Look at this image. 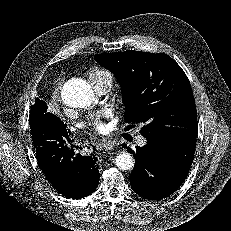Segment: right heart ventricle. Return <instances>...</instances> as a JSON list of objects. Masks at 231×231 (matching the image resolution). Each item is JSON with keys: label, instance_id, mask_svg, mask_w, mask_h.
<instances>
[{"label": "right heart ventricle", "instance_id": "e07e8e85", "mask_svg": "<svg viewBox=\"0 0 231 231\" xmlns=\"http://www.w3.org/2000/svg\"><path fill=\"white\" fill-rule=\"evenodd\" d=\"M89 79L93 84L104 80H109L112 82L113 77L110 71L104 68H95L90 72Z\"/></svg>", "mask_w": 231, "mask_h": 231}]
</instances>
